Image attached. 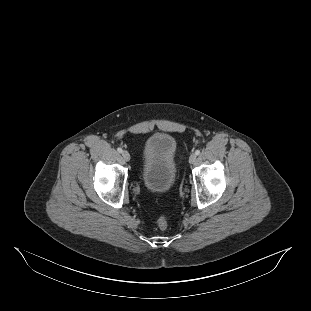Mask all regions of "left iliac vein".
I'll list each match as a JSON object with an SVG mask.
<instances>
[{
  "mask_svg": "<svg viewBox=\"0 0 311 311\" xmlns=\"http://www.w3.org/2000/svg\"><path fill=\"white\" fill-rule=\"evenodd\" d=\"M196 159H197V155L195 153H192L189 157V162L193 164L195 163Z\"/></svg>",
  "mask_w": 311,
  "mask_h": 311,
  "instance_id": "left-iliac-vein-1",
  "label": "left iliac vein"
}]
</instances>
